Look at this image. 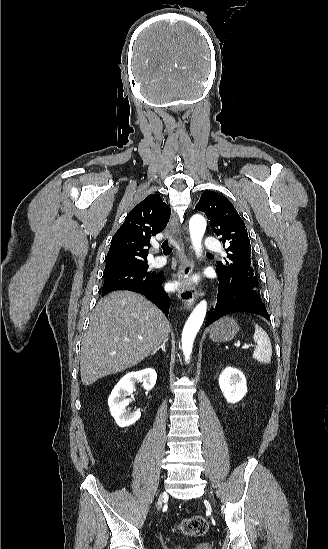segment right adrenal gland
Wrapping results in <instances>:
<instances>
[{
    "label": "right adrenal gland",
    "instance_id": "obj_1",
    "mask_svg": "<svg viewBox=\"0 0 328 549\" xmlns=\"http://www.w3.org/2000/svg\"><path fill=\"white\" fill-rule=\"evenodd\" d=\"M165 345H166V341H164L163 345H161V347H158V349H156V351H154L153 355H155V353H157V351H159V349H162V351H164L165 353Z\"/></svg>",
    "mask_w": 328,
    "mask_h": 549
}]
</instances>
